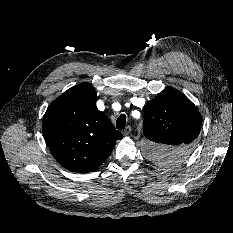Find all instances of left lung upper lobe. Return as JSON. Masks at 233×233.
I'll return each mask as SVG.
<instances>
[{"instance_id": "left-lung-upper-lobe-1", "label": "left lung upper lobe", "mask_w": 233, "mask_h": 233, "mask_svg": "<svg viewBox=\"0 0 233 233\" xmlns=\"http://www.w3.org/2000/svg\"><path fill=\"white\" fill-rule=\"evenodd\" d=\"M201 129V115L178 90L168 87L144 108V134L148 157L162 165H174L187 157Z\"/></svg>"}]
</instances>
